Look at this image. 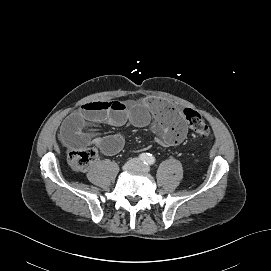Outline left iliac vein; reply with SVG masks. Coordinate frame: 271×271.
<instances>
[{
	"mask_svg": "<svg viewBox=\"0 0 271 271\" xmlns=\"http://www.w3.org/2000/svg\"><path fill=\"white\" fill-rule=\"evenodd\" d=\"M137 169H139V170H141V171H143L145 173L149 172V168L146 165L141 164V163L137 166Z\"/></svg>",
	"mask_w": 271,
	"mask_h": 271,
	"instance_id": "obj_1",
	"label": "left iliac vein"
}]
</instances>
